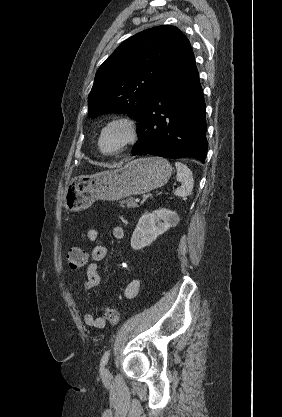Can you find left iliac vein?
Listing matches in <instances>:
<instances>
[{"instance_id": "1", "label": "left iliac vein", "mask_w": 282, "mask_h": 417, "mask_svg": "<svg viewBox=\"0 0 282 417\" xmlns=\"http://www.w3.org/2000/svg\"><path fill=\"white\" fill-rule=\"evenodd\" d=\"M108 373V369H105V374H107Z\"/></svg>"}]
</instances>
